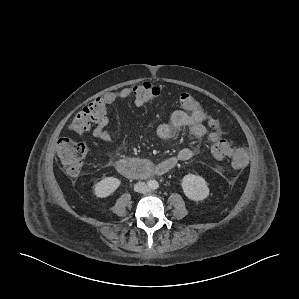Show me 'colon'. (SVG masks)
Instances as JSON below:
<instances>
[{"instance_id": "obj_1", "label": "colon", "mask_w": 299, "mask_h": 299, "mask_svg": "<svg viewBox=\"0 0 299 299\" xmlns=\"http://www.w3.org/2000/svg\"><path fill=\"white\" fill-rule=\"evenodd\" d=\"M135 98L144 103L153 101L160 95V88L152 83L144 82L131 87ZM180 107L186 111H194L199 108L197 99L191 94L184 92L179 97ZM106 103L103 98H97L83 107L72 119L69 129L77 134L88 131L104 114ZM211 133L209 140L211 153L216 159L229 157L236 168H243L248 164L249 156L245 149L233 148L229 142L221 137V124L217 120H210ZM58 157L70 175H78L85 164L87 147L81 142L71 138H61L57 143Z\"/></svg>"}]
</instances>
